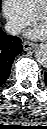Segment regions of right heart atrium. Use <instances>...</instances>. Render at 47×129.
I'll list each match as a JSON object with an SVG mask.
<instances>
[{
    "label": "right heart atrium",
    "instance_id": "right-heart-atrium-1",
    "mask_svg": "<svg viewBox=\"0 0 47 129\" xmlns=\"http://www.w3.org/2000/svg\"><path fill=\"white\" fill-rule=\"evenodd\" d=\"M2 11L7 20L9 30L18 34L24 30L34 18L21 0H3Z\"/></svg>",
    "mask_w": 47,
    "mask_h": 129
}]
</instances>
